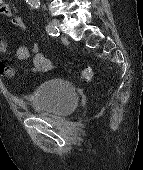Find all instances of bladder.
<instances>
[{
	"mask_svg": "<svg viewBox=\"0 0 143 170\" xmlns=\"http://www.w3.org/2000/svg\"><path fill=\"white\" fill-rule=\"evenodd\" d=\"M76 88L67 81L49 78L28 95L30 112L47 117H66L78 104Z\"/></svg>",
	"mask_w": 143,
	"mask_h": 170,
	"instance_id": "obj_1",
	"label": "bladder"
}]
</instances>
